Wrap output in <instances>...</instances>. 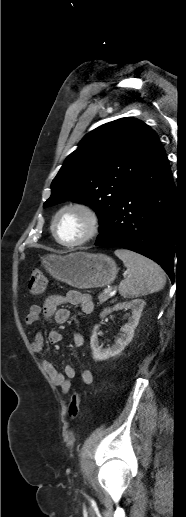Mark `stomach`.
I'll return each mask as SVG.
<instances>
[{
  "instance_id": "1",
  "label": "stomach",
  "mask_w": 186,
  "mask_h": 517,
  "mask_svg": "<svg viewBox=\"0 0 186 517\" xmlns=\"http://www.w3.org/2000/svg\"><path fill=\"white\" fill-rule=\"evenodd\" d=\"M42 265L52 277L78 289L108 286L118 272L111 257L81 251L65 256L47 255L42 258Z\"/></svg>"
}]
</instances>
